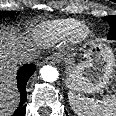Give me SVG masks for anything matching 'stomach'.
<instances>
[{
	"instance_id": "stomach-1",
	"label": "stomach",
	"mask_w": 116,
	"mask_h": 116,
	"mask_svg": "<svg viewBox=\"0 0 116 116\" xmlns=\"http://www.w3.org/2000/svg\"><path fill=\"white\" fill-rule=\"evenodd\" d=\"M84 61L70 63L66 84L75 92H99L107 86L113 74L115 59L112 50L92 44L84 53Z\"/></svg>"
}]
</instances>
